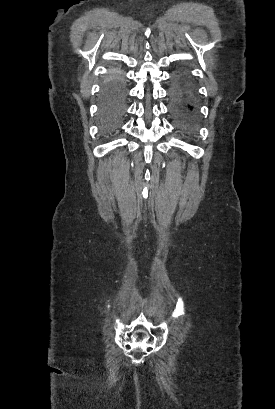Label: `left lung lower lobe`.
<instances>
[{"label":"left lung lower lobe","mask_w":275,"mask_h":409,"mask_svg":"<svg viewBox=\"0 0 275 409\" xmlns=\"http://www.w3.org/2000/svg\"><path fill=\"white\" fill-rule=\"evenodd\" d=\"M194 87L189 77L178 71L169 89L170 114L179 130L191 131L195 124L196 105Z\"/></svg>","instance_id":"1"}]
</instances>
